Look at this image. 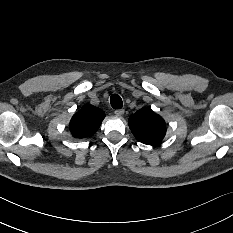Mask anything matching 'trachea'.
Listing matches in <instances>:
<instances>
[{
	"label": "trachea",
	"mask_w": 233,
	"mask_h": 233,
	"mask_svg": "<svg viewBox=\"0 0 233 233\" xmlns=\"http://www.w3.org/2000/svg\"><path fill=\"white\" fill-rule=\"evenodd\" d=\"M110 103H111V106L114 108V109H121L123 107V103H122V99L119 95L117 94H113L111 97H110Z\"/></svg>",
	"instance_id": "1"
}]
</instances>
